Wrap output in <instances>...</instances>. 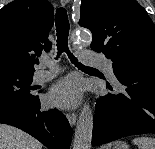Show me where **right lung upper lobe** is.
<instances>
[{
	"label": "right lung upper lobe",
	"instance_id": "cb5924a9",
	"mask_svg": "<svg viewBox=\"0 0 155 149\" xmlns=\"http://www.w3.org/2000/svg\"><path fill=\"white\" fill-rule=\"evenodd\" d=\"M54 10L46 0H14L0 10V67L33 74L36 55L49 51Z\"/></svg>",
	"mask_w": 155,
	"mask_h": 149
}]
</instances>
